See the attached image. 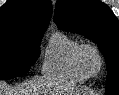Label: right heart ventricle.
Returning a JSON list of instances; mask_svg holds the SVG:
<instances>
[{
    "label": "right heart ventricle",
    "mask_w": 119,
    "mask_h": 95,
    "mask_svg": "<svg viewBox=\"0 0 119 95\" xmlns=\"http://www.w3.org/2000/svg\"><path fill=\"white\" fill-rule=\"evenodd\" d=\"M81 42L61 32H54L47 44L42 62L43 74L71 82H83L85 76L77 67L75 55Z\"/></svg>",
    "instance_id": "obj_1"
}]
</instances>
